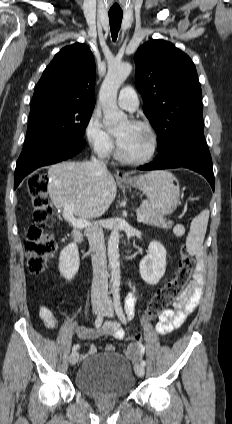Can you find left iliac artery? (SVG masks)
Instances as JSON below:
<instances>
[{
    "label": "left iliac artery",
    "instance_id": "obj_1",
    "mask_svg": "<svg viewBox=\"0 0 232 424\" xmlns=\"http://www.w3.org/2000/svg\"><path fill=\"white\" fill-rule=\"evenodd\" d=\"M114 307H115V311H116V314L118 315L119 319L122 321V323L126 324V318H125V314H124L122 306H121L119 293H116L114 295ZM126 313H127L129 318L133 317L134 316V305H127L126 306ZM141 365L146 366L145 360L141 361Z\"/></svg>",
    "mask_w": 232,
    "mask_h": 424
}]
</instances>
